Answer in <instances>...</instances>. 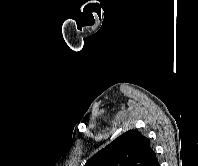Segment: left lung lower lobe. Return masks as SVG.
Segmentation results:
<instances>
[{
    "label": "left lung lower lobe",
    "mask_w": 198,
    "mask_h": 166,
    "mask_svg": "<svg viewBox=\"0 0 198 166\" xmlns=\"http://www.w3.org/2000/svg\"><path fill=\"white\" fill-rule=\"evenodd\" d=\"M151 166H160V165H159V162H158V160H157V158H156V160L152 163Z\"/></svg>",
    "instance_id": "0a47b994"
}]
</instances>
